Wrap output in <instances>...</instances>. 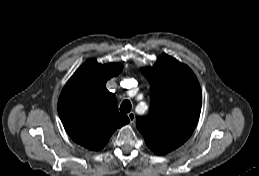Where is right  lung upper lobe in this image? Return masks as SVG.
<instances>
[{"instance_id": "1", "label": "right lung upper lobe", "mask_w": 259, "mask_h": 176, "mask_svg": "<svg viewBox=\"0 0 259 176\" xmlns=\"http://www.w3.org/2000/svg\"><path fill=\"white\" fill-rule=\"evenodd\" d=\"M120 63L102 65L88 60L63 88L58 111L68 135L93 151L102 149L113 132L129 122L118 112L117 99L105 85L122 71Z\"/></svg>"}]
</instances>
